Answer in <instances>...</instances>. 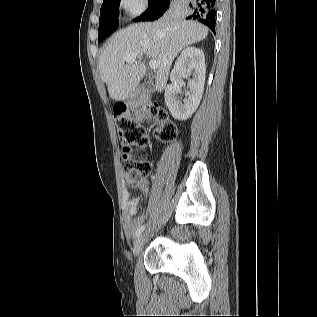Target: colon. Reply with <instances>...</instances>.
Returning a JSON list of instances; mask_svg holds the SVG:
<instances>
[{
    "label": "colon",
    "mask_w": 317,
    "mask_h": 317,
    "mask_svg": "<svg viewBox=\"0 0 317 317\" xmlns=\"http://www.w3.org/2000/svg\"><path fill=\"white\" fill-rule=\"evenodd\" d=\"M147 116L155 121V135L160 140L169 141L177 135V128L164 109L149 104ZM114 117L118 134L124 145L122 169L127 181L134 184L145 178L151 170L149 161L135 153L136 149L143 148L146 145L148 141L147 132L141 123V118L129 114L122 104L116 106Z\"/></svg>",
    "instance_id": "colon-1"
}]
</instances>
